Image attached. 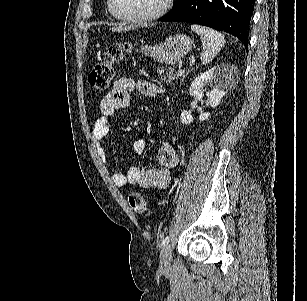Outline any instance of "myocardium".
<instances>
[{
	"mask_svg": "<svg viewBox=\"0 0 307 301\" xmlns=\"http://www.w3.org/2000/svg\"><path fill=\"white\" fill-rule=\"evenodd\" d=\"M109 1L111 7L108 8V11L116 17V22H152V18H160L164 15L171 2V0H164L158 11L121 10L119 12L118 0Z\"/></svg>",
	"mask_w": 307,
	"mask_h": 301,
	"instance_id": "myocardium-1",
	"label": "myocardium"
}]
</instances>
